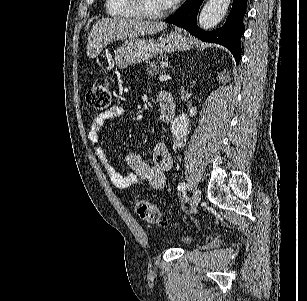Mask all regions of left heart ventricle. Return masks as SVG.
<instances>
[{
	"label": "left heart ventricle",
	"instance_id": "1",
	"mask_svg": "<svg viewBox=\"0 0 307 301\" xmlns=\"http://www.w3.org/2000/svg\"><path fill=\"white\" fill-rule=\"evenodd\" d=\"M146 2H148V13L150 11H159L161 0H146Z\"/></svg>",
	"mask_w": 307,
	"mask_h": 301
}]
</instances>
